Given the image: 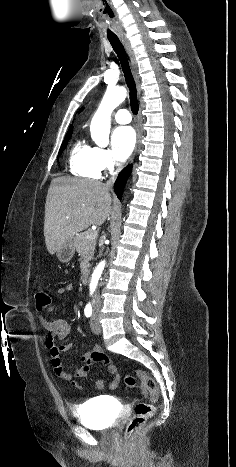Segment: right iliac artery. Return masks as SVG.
<instances>
[{"mask_svg": "<svg viewBox=\"0 0 236 467\" xmlns=\"http://www.w3.org/2000/svg\"><path fill=\"white\" fill-rule=\"evenodd\" d=\"M84 314L86 317H90L92 315V306L91 304H87L84 309Z\"/></svg>", "mask_w": 236, "mask_h": 467, "instance_id": "obj_1", "label": "right iliac artery"}]
</instances>
